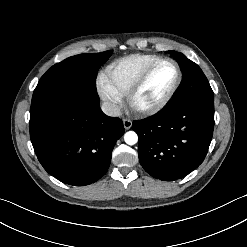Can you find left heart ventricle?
<instances>
[{"instance_id": "b2bd125f", "label": "left heart ventricle", "mask_w": 247, "mask_h": 247, "mask_svg": "<svg viewBox=\"0 0 247 247\" xmlns=\"http://www.w3.org/2000/svg\"><path fill=\"white\" fill-rule=\"evenodd\" d=\"M175 79L176 69L173 64L170 62L158 64L140 89L136 102L145 106L161 99L171 89Z\"/></svg>"}]
</instances>
